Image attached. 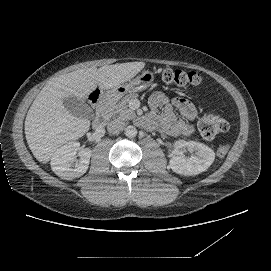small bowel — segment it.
<instances>
[{
	"label": "small bowel",
	"mask_w": 271,
	"mask_h": 271,
	"mask_svg": "<svg viewBox=\"0 0 271 271\" xmlns=\"http://www.w3.org/2000/svg\"><path fill=\"white\" fill-rule=\"evenodd\" d=\"M150 107L155 111L161 110V114L152 117L157 118L160 127L172 136H189L195 132L193 121L198 115L197 108L183 98H168L162 92H155L149 98ZM176 111L180 116L176 115Z\"/></svg>",
	"instance_id": "obj_1"
}]
</instances>
